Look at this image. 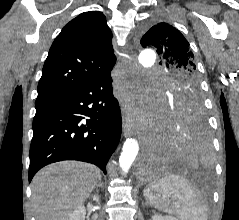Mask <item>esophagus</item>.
I'll use <instances>...</instances> for the list:
<instances>
[{
	"mask_svg": "<svg viewBox=\"0 0 239 220\" xmlns=\"http://www.w3.org/2000/svg\"><path fill=\"white\" fill-rule=\"evenodd\" d=\"M121 113H122L121 116L123 117V116H124L123 114L126 113V110H125V109H122V110H121ZM123 131H124V134H125V135L129 134L128 120H127L126 117H124V119H123Z\"/></svg>",
	"mask_w": 239,
	"mask_h": 220,
	"instance_id": "esophagus-1",
	"label": "esophagus"
}]
</instances>
